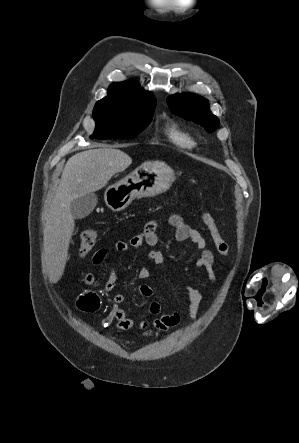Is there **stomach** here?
<instances>
[{
	"label": "stomach",
	"mask_w": 299,
	"mask_h": 443,
	"mask_svg": "<svg viewBox=\"0 0 299 443\" xmlns=\"http://www.w3.org/2000/svg\"><path fill=\"white\" fill-rule=\"evenodd\" d=\"M174 180L173 170L165 163L147 162L109 186L104 199L111 210L121 211L135 198L153 197L167 191Z\"/></svg>",
	"instance_id": "0dacf381"
}]
</instances>
